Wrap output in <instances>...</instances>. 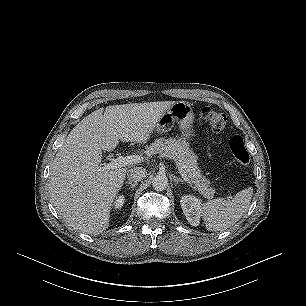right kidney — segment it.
Listing matches in <instances>:
<instances>
[{
  "label": "right kidney",
  "instance_id": "1",
  "mask_svg": "<svg viewBox=\"0 0 306 306\" xmlns=\"http://www.w3.org/2000/svg\"><path fill=\"white\" fill-rule=\"evenodd\" d=\"M124 202H125L124 195H120V196L116 197V200L114 201V204H113L114 209H121Z\"/></svg>",
  "mask_w": 306,
  "mask_h": 306
}]
</instances>
